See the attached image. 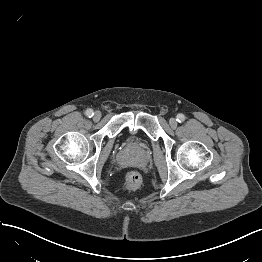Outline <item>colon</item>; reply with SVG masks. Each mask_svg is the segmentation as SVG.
Wrapping results in <instances>:
<instances>
[{
  "mask_svg": "<svg viewBox=\"0 0 262 262\" xmlns=\"http://www.w3.org/2000/svg\"><path fill=\"white\" fill-rule=\"evenodd\" d=\"M141 186V177L137 172H130L127 176L124 188L129 191L138 189Z\"/></svg>",
  "mask_w": 262,
  "mask_h": 262,
  "instance_id": "colon-1",
  "label": "colon"
}]
</instances>
